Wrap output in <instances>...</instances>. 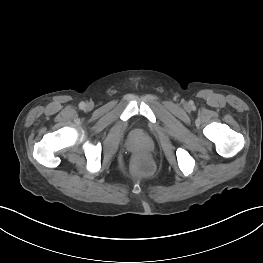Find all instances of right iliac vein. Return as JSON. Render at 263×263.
Masks as SVG:
<instances>
[{
	"instance_id": "1",
	"label": "right iliac vein",
	"mask_w": 263,
	"mask_h": 263,
	"mask_svg": "<svg viewBox=\"0 0 263 263\" xmlns=\"http://www.w3.org/2000/svg\"><path fill=\"white\" fill-rule=\"evenodd\" d=\"M86 107H87L88 109L91 108V104H88Z\"/></svg>"
}]
</instances>
